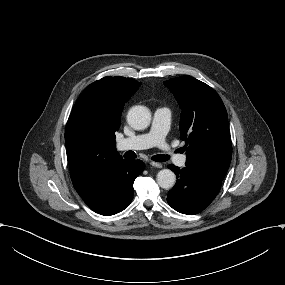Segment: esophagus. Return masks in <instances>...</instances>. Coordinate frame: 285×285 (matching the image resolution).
Instances as JSON below:
<instances>
[{
	"label": "esophagus",
	"instance_id": "34e87169",
	"mask_svg": "<svg viewBox=\"0 0 285 285\" xmlns=\"http://www.w3.org/2000/svg\"><path fill=\"white\" fill-rule=\"evenodd\" d=\"M150 165L153 166V167L159 168V169L163 167V165L161 163H157V162H154V161H151Z\"/></svg>",
	"mask_w": 285,
	"mask_h": 285
}]
</instances>
